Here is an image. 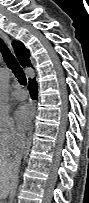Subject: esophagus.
<instances>
[{
  "mask_svg": "<svg viewBox=\"0 0 89 203\" xmlns=\"http://www.w3.org/2000/svg\"><path fill=\"white\" fill-rule=\"evenodd\" d=\"M0 37L11 47V40L10 38L7 36V34H5L4 32H0ZM32 110H33V114L35 113V105L33 104L32 106ZM33 123L31 124L29 133H28V140H27V146H26V150H25V155H27L30 147H31V137H32V132H33Z\"/></svg>",
  "mask_w": 89,
  "mask_h": 203,
  "instance_id": "1",
  "label": "esophagus"
}]
</instances>
